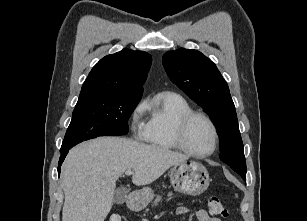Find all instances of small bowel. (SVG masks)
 Listing matches in <instances>:
<instances>
[{
  "mask_svg": "<svg viewBox=\"0 0 307 221\" xmlns=\"http://www.w3.org/2000/svg\"><path fill=\"white\" fill-rule=\"evenodd\" d=\"M188 211L189 210H188L187 207L179 206V207H177L175 212H176L177 215H183V214H186ZM196 217H197L198 221H221L217 217L210 216L208 214V212L204 209L197 210L196 211Z\"/></svg>",
  "mask_w": 307,
  "mask_h": 221,
  "instance_id": "obj_1",
  "label": "small bowel"
}]
</instances>
